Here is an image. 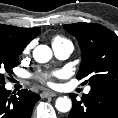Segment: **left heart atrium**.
Listing matches in <instances>:
<instances>
[{
	"mask_svg": "<svg viewBox=\"0 0 118 118\" xmlns=\"http://www.w3.org/2000/svg\"><path fill=\"white\" fill-rule=\"evenodd\" d=\"M60 72L59 71H54V72H42L39 73L36 77L43 83L47 85H52L53 84V77L59 76Z\"/></svg>",
	"mask_w": 118,
	"mask_h": 118,
	"instance_id": "39dd6f15",
	"label": "left heart atrium"
}]
</instances>
